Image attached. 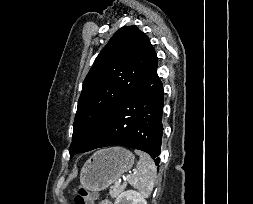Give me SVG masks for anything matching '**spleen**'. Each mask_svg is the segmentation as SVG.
<instances>
[{
    "instance_id": "1",
    "label": "spleen",
    "mask_w": 253,
    "mask_h": 204,
    "mask_svg": "<svg viewBox=\"0 0 253 204\" xmlns=\"http://www.w3.org/2000/svg\"><path fill=\"white\" fill-rule=\"evenodd\" d=\"M135 153L140 159L134 173L127 175L126 179L128 183L138 189L142 195L148 196L153 190L157 170L154 161L147 153L138 150H135Z\"/></svg>"
}]
</instances>
